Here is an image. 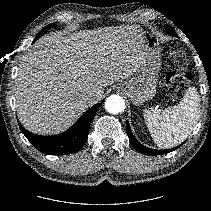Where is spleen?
Segmentation results:
<instances>
[{
    "mask_svg": "<svg viewBox=\"0 0 211 211\" xmlns=\"http://www.w3.org/2000/svg\"><path fill=\"white\" fill-rule=\"evenodd\" d=\"M200 96L195 87H190L181 102L161 113L144 110L148 130L157 146L171 148L183 142L193 131L199 118Z\"/></svg>",
    "mask_w": 211,
    "mask_h": 211,
    "instance_id": "spleen-1",
    "label": "spleen"
}]
</instances>
